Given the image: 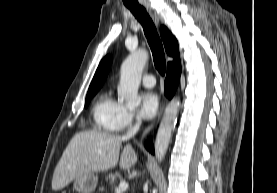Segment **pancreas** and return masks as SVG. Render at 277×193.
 I'll return each instance as SVG.
<instances>
[{"label":"pancreas","instance_id":"1","mask_svg":"<svg viewBox=\"0 0 277 193\" xmlns=\"http://www.w3.org/2000/svg\"><path fill=\"white\" fill-rule=\"evenodd\" d=\"M117 179L120 180V181L123 180L122 175L119 172H115V173L111 172L106 176V180H109L110 184H112V185L115 184V181Z\"/></svg>","mask_w":277,"mask_h":193}]
</instances>
